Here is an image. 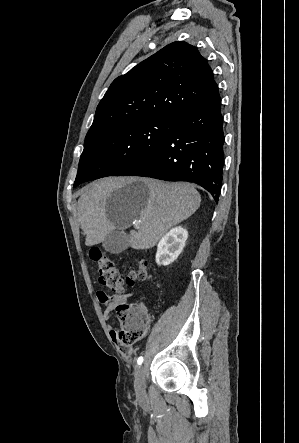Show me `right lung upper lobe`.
Wrapping results in <instances>:
<instances>
[{"mask_svg":"<svg viewBox=\"0 0 299 443\" xmlns=\"http://www.w3.org/2000/svg\"><path fill=\"white\" fill-rule=\"evenodd\" d=\"M216 87L213 72L197 48L173 42L112 82L86 138L134 120L173 117Z\"/></svg>","mask_w":299,"mask_h":443,"instance_id":"cb5924a9","label":"right lung upper lobe"}]
</instances>
